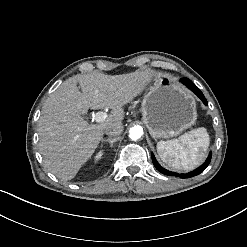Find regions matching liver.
<instances>
[{"instance_id": "6515ba94", "label": "liver", "mask_w": 247, "mask_h": 247, "mask_svg": "<svg viewBox=\"0 0 247 247\" xmlns=\"http://www.w3.org/2000/svg\"><path fill=\"white\" fill-rule=\"evenodd\" d=\"M158 77L160 74L146 69L114 76L77 74L65 80L44 102L38 121L44 166L64 181L73 179L93 155L106 126L121 122L123 106ZM89 108L111 109V114L99 124H89L81 117Z\"/></svg>"}]
</instances>
